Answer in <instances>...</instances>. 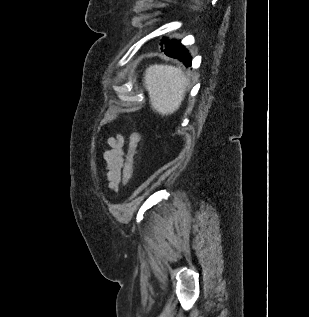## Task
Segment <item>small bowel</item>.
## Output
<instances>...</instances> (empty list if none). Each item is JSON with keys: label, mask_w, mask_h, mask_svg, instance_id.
<instances>
[{"label": "small bowel", "mask_w": 309, "mask_h": 317, "mask_svg": "<svg viewBox=\"0 0 309 317\" xmlns=\"http://www.w3.org/2000/svg\"><path fill=\"white\" fill-rule=\"evenodd\" d=\"M109 148L102 151L105 161V177L108 181L109 188L116 191L121 181L123 167L125 163V140L120 134L106 139Z\"/></svg>", "instance_id": "obj_1"}]
</instances>
